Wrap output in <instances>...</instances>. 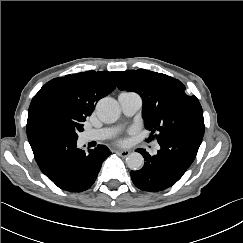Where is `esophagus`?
<instances>
[{"label": "esophagus", "mask_w": 243, "mask_h": 243, "mask_svg": "<svg viewBox=\"0 0 243 243\" xmlns=\"http://www.w3.org/2000/svg\"><path fill=\"white\" fill-rule=\"evenodd\" d=\"M115 152L120 154L122 157H127L130 154L129 150H116Z\"/></svg>", "instance_id": "obj_1"}]
</instances>
